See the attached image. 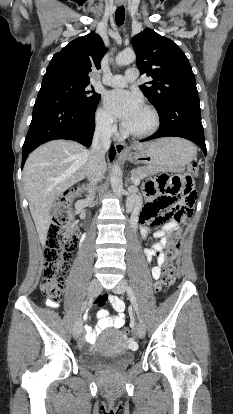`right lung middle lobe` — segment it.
I'll use <instances>...</instances> for the list:
<instances>
[{"instance_id": "1", "label": "right lung middle lobe", "mask_w": 233, "mask_h": 414, "mask_svg": "<svg viewBox=\"0 0 233 414\" xmlns=\"http://www.w3.org/2000/svg\"><path fill=\"white\" fill-rule=\"evenodd\" d=\"M89 84L62 76H44L38 97H52L71 105L94 107L100 95L88 90Z\"/></svg>"}]
</instances>
